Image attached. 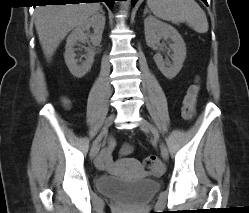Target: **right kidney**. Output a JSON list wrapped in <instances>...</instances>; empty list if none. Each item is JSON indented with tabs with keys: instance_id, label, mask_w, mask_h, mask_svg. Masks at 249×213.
I'll return each instance as SVG.
<instances>
[{
	"instance_id": "1",
	"label": "right kidney",
	"mask_w": 249,
	"mask_h": 213,
	"mask_svg": "<svg viewBox=\"0 0 249 213\" xmlns=\"http://www.w3.org/2000/svg\"><path fill=\"white\" fill-rule=\"evenodd\" d=\"M104 26V15L96 13L77 25L67 37L64 59L73 76L82 78L84 75H86V73H88V71H90L94 62V51L92 48H89L87 49V54L85 56L86 60L79 65L78 61L75 59L76 49L74 46L77 44V42L84 43L88 39H90L93 46H98L101 43ZM91 27L94 30L93 34L89 33V29Z\"/></svg>"
}]
</instances>
